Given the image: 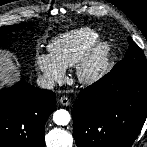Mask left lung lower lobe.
Wrapping results in <instances>:
<instances>
[{
    "instance_id": "obj_1",
    "label": "left lung lower lobe",
    "mask_w": 147,
    "mask_h": 147,
    "mask_svg": "<svg viewBox=\"0 0 147 147\" xmlns=\"http://www.w3.org/2000/svg\"><path fill=\"white\" fill-rule=\"evenodd\" d=\"M147 117V71L113 69L83 89L73 106L78 147H130Z\"/></svg>"
}]
</instances>
